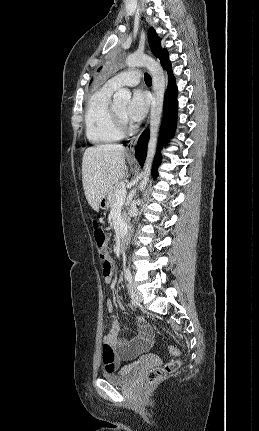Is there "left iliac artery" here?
I'll use <instances>...</instances> for the list:
<instances>
[{
	"mask_svg": "<svg viewBox=\"0 0 259 431\" xmlns=\"http://www.w3.org/2000/svg\"><path fill=\"white\" fill-rule=\"evenodd\" d=\"M125 278L128 282H132V274L128 267L125 269Z\"/></svg>",
	"mask_w": 259,
	"mask_h": 431,
	"instance_id": "obj_1",
	"label": "left iliac artery"
}]
</instances>
